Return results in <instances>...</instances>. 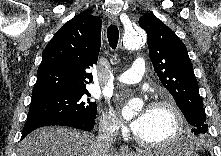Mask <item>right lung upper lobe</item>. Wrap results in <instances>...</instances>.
Listing matches in <instances>:
<instances>
[{"mask_svg":"<svg viewBox=\"0 0 221 156\" xmlns=\"http://www.w3.org/2000/svg\"><path fill=\"white\" fill-rule=\"evenodd\" d=\"M101 46V19L87 12L69 20L45 47L32 99L86 89Z\"/></svg>","mask_w":221,"mask_h":156,"instance_id":"cb5924a9","label":"right lung upper lobe"}]
</instances>
